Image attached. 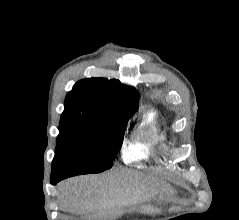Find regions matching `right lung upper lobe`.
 <instances>
[{"mask_svg": "<svg viewBox=\"0 0 239 220\" xmlns=\"http://www.w3.org/2000/svg\"><path fill=\"white\" fill-rule=\"evenodd\" d=\"M139 106L135 88L119 80L78 81L67 94L61 122L108 123L129 119Z\"/></svg>", "mask_w": 239, "mask_h": 220, "instance_id": "obj_1", "label": "right lung upper lobe"}]
</instances>
